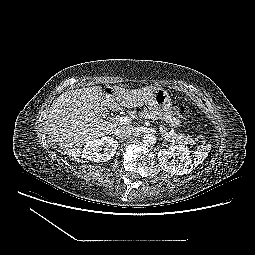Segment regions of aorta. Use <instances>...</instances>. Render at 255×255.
I'll return each mask as SVG.
<instances>
[{
    "label": "aorta",
    "instance_id": "aorta-1",
    "mask_svg": "<svg viewBox=\"0 0 255 255\" xmlns=\"http://www.w3.org/2000/svg\"><path fill=\"white\" fill-rule=\"evenodd\" d=\"M156 136L153 134H146L143 136V143L145 146H152L156 143Z\"/></svg>",
    "mask_w": 255,
    "mask_h": 255
}]
</instances>
